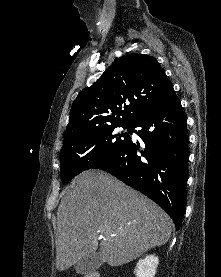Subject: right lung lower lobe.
I'll return each mask as SVG.
<instances>
[{
    "mask_svg": "<svg viewBox=\"0 0 221 277\" xmlns=\"http://www.w3.org/2000/svg\"><path fill=\"white\" fill-rule=\"evenodd\" d=\"M131 126L144 142V151L139 142L131 140L92 168L112 174L152 199L170 215L178 230L186 207L189 137L174 89ZM137 127L139 130H134Z\"/></svg>",
    "mask_w": 221,
    "mask_h": 277,
    "instance_id": "obj_1",
    "label": "right lung lower lobe"
}]
</instances>
